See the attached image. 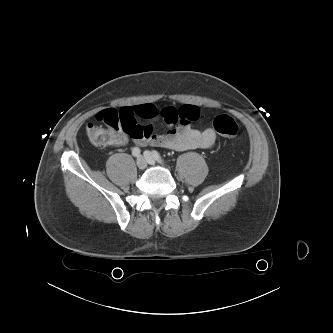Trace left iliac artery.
<instances>
[{
  "label": "left iliac artery",
  "instance_id": "obj_1",
  "mask_svg": "<svg viewBox=\"0 0 333 333\" xmlns=\"http://www.w3.org/2000/svg\"><path fill=\"white\" fill-rule=\"evenodd\" d=\"M149 153H150V154L152 155V157H153L156 161H158L159 163L164 162L163 158L160 156V154H159L156 150H153L152 152L146 151V152L144 153V155L147 156Z\"/></svg>",
  "mask_w": 333,
  "mask_h": 333
}]
</instances>
